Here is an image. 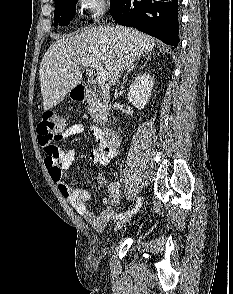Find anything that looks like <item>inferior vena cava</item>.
<instances>
[{"label":"inferior vena cava","instance_id":"602c4592","mask_svg":"<svg viewBox=\"0 0 233 294\" xmlns=\"http://www.w3.org/2000/svg\"><path fill=\"white\" fill-rule=\"evenodd\" d=\"M120 71H121V68L119 67V68L116 70L117 77H120Z\"/></svg>","mask_w":233,"mask_h":294}]
</instances>
